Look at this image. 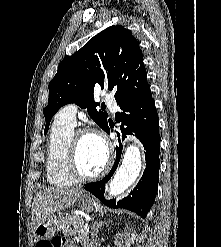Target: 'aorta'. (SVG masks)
<instances>
[{
	"instance_id": "1",
	"label": "aorta",
	"mask_w": 221,
	"mask_h": 247,
	"mask_svg": "<svg viewBox=\"0 0 221 247\" xmlns=\"http://www.w3.org/2000/svg\"><path fill=\"white\" fill-rule=\"evenodd\" d=\"M142 168L141 152L137 145L127 146L121 166L109 183V197L126 191L138 178Z\"/></svg>"
}]
</instances>
